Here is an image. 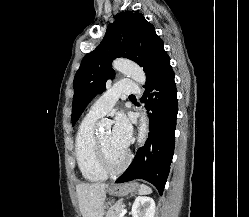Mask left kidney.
Masks as SVG:
<instances>
[{
  "label": "left kidney",
  "mask_w": 249,
  "mask_h": 217,
  "mask_svg": "<svg viewBox=\"0 0 249 217\" xmlns=\"http://www.w3.org/2000/svg\"><path fill=\"white\" fill-rule=\"evenodd\" d=\"M131 214L132 217H154V200L148 196H138L132 205Z\"/></svg>",
  "instance_id": "left-kidney-1"
}]
</instances>
